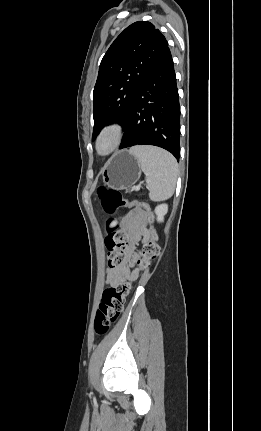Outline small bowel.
Wrapping results in <instances>:
<instances>
[{"instance_id":"c3829d8e","label":"small bowel","mask_w":261,"mask_h":431,"mask_svg":"<svg viewBox=\"0 0 261 431\" xmlns=\"http://www.w3.org/2000/svg\"><path fill=\"white\" fill-rule=\"evenodd\" d=\"M124 227L130 238L129 245L125 249L126 260L119 266L110 267L106 273V282L109 285L126 279H136L138 270L136 263L140 258V252L136 249L139 242H145L148 230L146 228V216L140 209H134L124 219Z\"/></svg>"}]
</instances>
